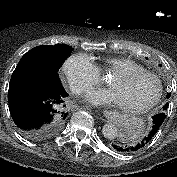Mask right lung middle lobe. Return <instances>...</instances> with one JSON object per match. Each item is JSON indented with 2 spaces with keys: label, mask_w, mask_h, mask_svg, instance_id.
<instances>
[{
  "label": "right lung middle lobe",
  "mask_w": 177,
  "mask_h": 177,
  "mask_svg": "<svg viewBox=\"0 0 177 177\" xmlns=\"http://www.w3.org/2000/svg\"><path fill=\"white\" fill-rule=\"evenodd\" d=\"M70 51L71 47L64 44L35 47L23 55L11 80H43L61 87L58 71Z\"/></svg>",
  "instance_id": "dd1d6c3e"
}]
</instances>
